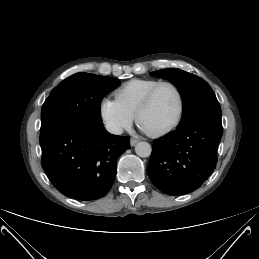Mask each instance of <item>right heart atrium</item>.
Instances as JSON below:
<instances>
[{
    "mask_svg": "<svg viewBox=\"0 0 259 259\" xmlns=\"http://www.w3.org/2000/svg\"><path fill=\"white\" fill-rule=\"evenodd\" d=\"M99 114L106 127L113 133H120L128 129L134 116L124 110L116 99L105 97L100 102Z\"/></svg>",
    "mask_w": 259,
    "mask_h": 259,
    "instance_id": "1",
    "label": "right heart atrium"
}]
</instances>
